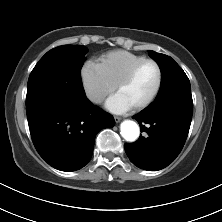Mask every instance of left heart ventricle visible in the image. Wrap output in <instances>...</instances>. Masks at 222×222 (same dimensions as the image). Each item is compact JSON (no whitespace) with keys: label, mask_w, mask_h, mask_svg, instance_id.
<instances>
[{"label":"left heart ventricle","mask_w":222,"mask_h":222,"mask_svg":"<svg viewBox=\"0 0 222 222\" xmlns=\"http://www.w3.org/2000/svg\"><path fill=\"white\" fill-rule=\"evenodd\" d=\"M158 80L157 69L153 64L143 65L133 79L117 90L132 106L141 104L153 93Z\"/></svg>","instance_id":"left-heart-ventricle-1"}]
</instances>
